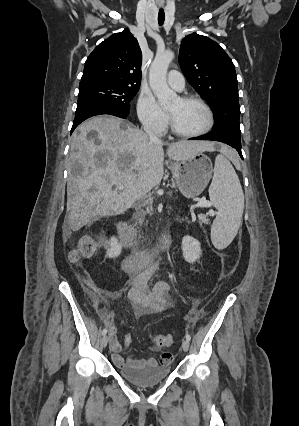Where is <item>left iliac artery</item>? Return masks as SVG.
<instances>
[{"label": "left iliac artery", "instance_id": "44dca946", "mask_svg": "<svg viewBox=\"0 0 299 426\" xmlns=\"http://www.w3.org/2000/svg\"><path fill=\"white\" fill-rule=\"evenodd\" d=\"M185 338H186V340H188V341H190V340H191V336H190L188 333L185 335Z\"/></svg>", "mask_w": 299, "mask_h": 426}]
</instances>
